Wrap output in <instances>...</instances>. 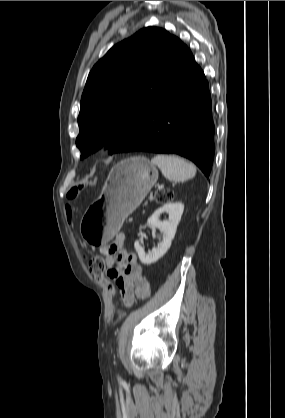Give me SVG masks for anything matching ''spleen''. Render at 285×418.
Wrapping results in <instances>:
<instances>
[{
  "mask_svg": "<svg viewBox=\"0 0 285 418\" xmlns=\"http://www.w3.org/2000/svg\"><path fill=\"white\" fill-rule=\"evenodd\" d=\"M151 163L158 166L165 178L175 182H184L196 175L193 164L175 155L158 154Z\"/></svg>",
  "mask_w": 285,
  "mask_h": 418,
  "instance_id": "3e777b00",
  "label": "spleen"
}]
</instances>
